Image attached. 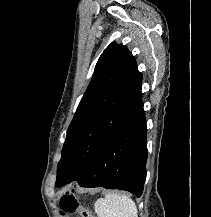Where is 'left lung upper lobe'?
Here are the masks:
<instances>
[{"mask_svg":"<svg viewBox=\"0 0 211 217\" xmlns=\"http://www.w3.org/2000/svg\"><path fill=\"white\" fill-rule=\"evenodd\" d=\"M141 85L134 56L126 46L111 43L100 56L67 129L57 187L73 181L109 136L143 108Z\"/></svg>","mask_w":211,"mask_h":217,"instance_id":"obj_1","label":"left lung upper lobe"}]
</instances>
